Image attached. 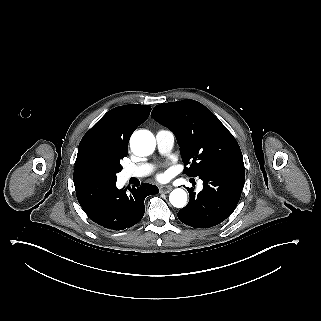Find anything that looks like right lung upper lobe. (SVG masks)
I'll return each instance as SVG.
<instances>
[{"mask_svg": "<svg viewBox=\"0 0 321 321\" xmlns=\"http://www.w3.org/2000/svg\"><path fill=\"white\" fill-rule=\"evenodd\" d=\"M148 105H124L108 111L81 140L73 175L74 183L91 178L82 168L80 156L90 144H101L111 151L127 152L128 141L133 131L143 123L150 114Z\"/></svg>", "mask_w": 321, "mask_h": 321, "instance_id": "obj_1", "label": "right lung upper lobe"}]
</instances>
